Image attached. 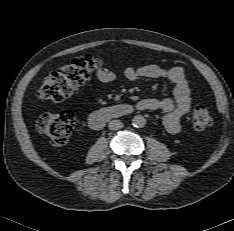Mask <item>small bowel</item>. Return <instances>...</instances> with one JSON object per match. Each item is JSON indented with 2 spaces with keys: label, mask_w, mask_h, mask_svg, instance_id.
<instances>
[{
  "label": "small bowel",
  "mask_w": 234,
  "mask_h": 231,
  "mask_svg": "<svg viewBox=\"0 0 234 231\" xmlns=\"http://www.w3.org/2000/svg\"><path fill=\"white\" fill-rule=\"evenodd\" d=\"M97 77L103 83H111L116 78L113 72L105 69L99 71ZM125 77L129 81H137L141 78H161L174 85L173 99H142L136 103V108L140 111H164L166 113L163 117L165 129L171 134L178 133L182 127V118L189 112L192 103L184 69L179 66L164 69L158 65L148 64L139 67H128L125 71Z\"/></svg>",
  "instance_id": "c3829d8e"
}]
</instances>
